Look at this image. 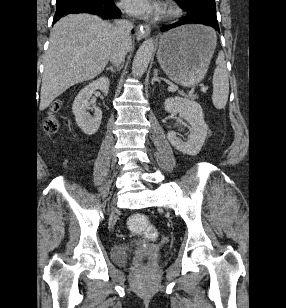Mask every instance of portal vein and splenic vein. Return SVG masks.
<instances>
[{
  "instance_id": "1",
  "label": "portal vein and splenic vein",
  "mask_w": 286,
  "mask_h": 308,
  "mask_svg": "<svg viewBox=\"0 0 286 308\" xmlns=\"http://www.w3.org/2000/svg\"><path fill=\"white\" fill-rule=\"evenodd\" d=\"M168 89H169V90H176V89H178V86L172 85V86H170ZM202 89H203V90H206L207 87H202Z\"/></svg>"
}]
</instances>
